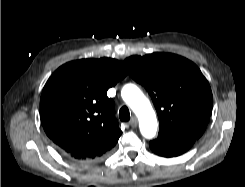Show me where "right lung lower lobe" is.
<instances>
[{"label":"right lung lower lobe","mask_w":245,"mask_h":187,"mask_svg":"<svg viewBox=\"0 0 245 187\" xmlns=\"http://www.w3.org/2000/svg\"><path fill=\"white\" fill-rule=\"evenodd\" d=\"M60 152H61L64 156H66V154H64L61 150H60ZM66 157H67V156H66ZM67 158L70 159V160H72V161H74V162L80 163V164L90 163V162H88V161L74 160V159H71V158H69V157H67Z\"/></svg>","instance_id":"98d812e1"}]
</instances>
